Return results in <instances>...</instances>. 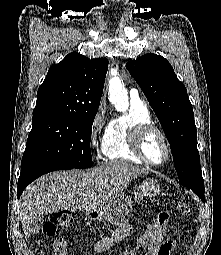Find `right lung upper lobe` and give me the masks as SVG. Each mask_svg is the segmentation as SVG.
Masks as SVG:
<instances>
[{
    "label": "right lung upper lobe",
    "mask_w": 221,
    "mask_h": 255,
    "mask_svg": "<svg viewBox=\"0 0 221 255\" xmlns=\"http://www.w3.org/2000/svg\"><path fill=\"white\" fill-rule=\"evenodd\" d=\"M107 69L106 58L89 59L75 52L68 54L49 69L38 89L33 114L97 111Z\"/></svg>",
    "instance_id": "1"
}]
</instances>
